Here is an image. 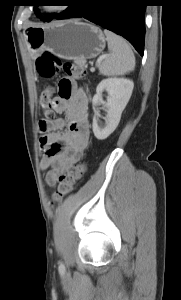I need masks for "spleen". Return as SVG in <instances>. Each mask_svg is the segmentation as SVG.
I'll list each match as a JSON object with an SVG mask.
<instances>
[{
  "mask_svg": "<svg viewBox=\"0 0 181 300\" xmlns=\"http://www.w3.org/2000/svg\"><path fill=\"white\" fill-rule=\"evenodd\" d=\"M104 33L110 55L99 66L100 73L105 76H118L133 71L135 56L127 41L109 30L105 29Z\"/></svg>",
  "mask_w": 181,
  "mask_h": 300,
  "instance_id": "3e777b00",
  "label": "spleen"
}]
</instances>
